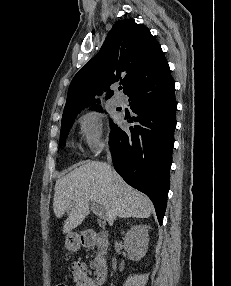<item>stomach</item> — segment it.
Segmentation results:
<instances>
[{"instance_id":"stomach-1","label":"stomach","mask_w":231,"mask_h":286,"mask_svg":"<svg viewBox=\"0 0 231 286\" xmlns=\"http://www.w3.org/2000/svg\"><path fill=\"white\" fill-rule=\"evenodd\" d=\"M65 247L72 252L80 248V237L77 233H69L66 237Z\"/></svg>"}]
</instances>
